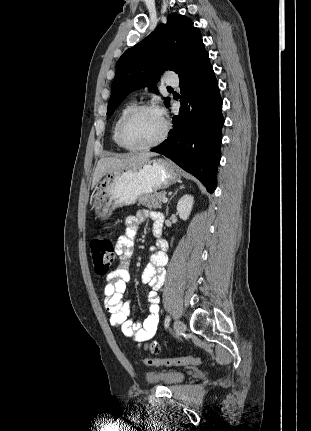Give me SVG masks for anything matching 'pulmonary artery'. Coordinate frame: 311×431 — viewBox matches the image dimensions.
Returning <instances> with one entry per match:
<instances>
[{
	"mask_svg": "<svg viewBox=\"0 0 311 431\" xmlns=\"http://www.w3.org/2000/svg\"><path fill=\"white\" fill-rule=\"evenodd\" d=\"M164 81H165V83H167L169 85H173V86L178 85L177 81H172V80H169V79H165Z\"/></svg>",
	"mask_w": 311,
	"mask_h": 431,
	"instance_id": "1",
	"label": "pulmonary artery"
}]
</instances>
